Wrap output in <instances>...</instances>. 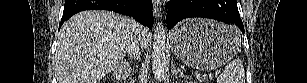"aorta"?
<instances>
[{
  "label": "aorta",
  "mask_w": 307,
  "mask_h": 83,
  "mask_svg": "<svg viewBox=\"0 0 307 83\" xmlns=\"http://www.w3.org/2000/svg\"><path fill=\"white\" fill-rule=\"evenodd\" d=\"M166 68V29L162 22H158L154 32L152 50V70L157 81L161 82L164 79Z\"/></svg>",
  "instance_id": "aorta-1"
}]
</instances>
